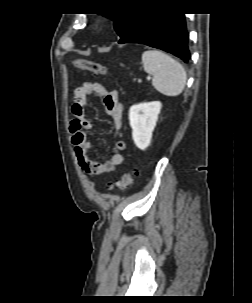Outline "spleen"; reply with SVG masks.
<instances>
[{"label":"spleen","mask_w":252,"mask_h":303,"mask_svg":"<svg viewBox=\"0 0 252 303\" xmlns=\"http://www.w3.org/2000/svg\"><path fill=\"white\" fill-rule=\"evenodd\" d=\"M144 71L153 76V87L163 95L175 97L182 93L186 84L183 66L171 56L159 50L142 54Z\"/></svg>","instance_id":"obj_1"}]
</instances>
